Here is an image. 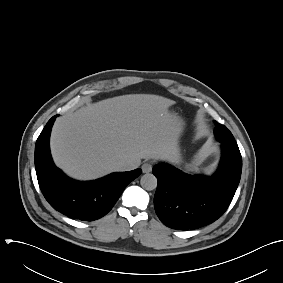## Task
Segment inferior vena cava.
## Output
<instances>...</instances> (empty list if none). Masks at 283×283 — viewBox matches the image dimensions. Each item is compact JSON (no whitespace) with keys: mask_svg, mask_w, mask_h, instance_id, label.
<instances>
[{"mask_svg":"<svg viewBox=\"0 0 283 283\" xmlns=\"http://www.w3.org/2000/svg\"><path fill=\"white\" fill-rule=\"evenodd\" d=\"M117 171H128L137 168L138 166L129 160H120L116 164Z\"/></svg>","mask_w":283,"mask_h":283,"instance_id":"602c4592","label":"inferior vena cava"}]
</instances>
